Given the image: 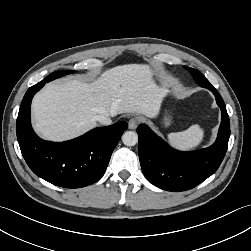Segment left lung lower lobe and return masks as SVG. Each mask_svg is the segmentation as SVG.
Segmentation results:
<instances>
[{
    "mask_svg": "<svg viewBox=\"0 0 251 251\" xmlns=\"http://www.w3.org/2000/svg\"><path fill=\"white\" fill-rule=\"evenodd\" d=\"M199 85L213 92L221 108V124L213 145L192 152H181L171 148L145 124H140L137 129L141 168L146 178L161 189L180 192L194 188L216 172L226 154L230 122L225 103L209 82H200Z\"/></svg>",
    "mask_w": 251,
    "mask_h": 251,
    "instance_id": "obj_1",
    "label": "left lung lower lobe"
}]
</instances>
